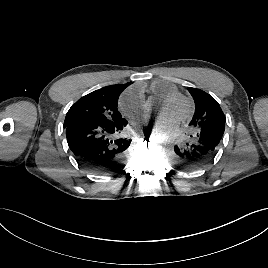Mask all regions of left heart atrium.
Returning a JSON list of instances; mask_svg holds the SVG:
<instances>
[{"label": "left heart atrium", "mask_w": 268, "mask_h": 268, "mask_svg": "<svg viewBox=\"0 0 268 268\" xmlns=\"http://www.w3.org/2000/svg\"><path fill=\"white\" fill-rule=\"evenodd\" d=\"M177 118L168 113L160 114L155 121V127L158 130H166L170 129L177 123ZM137 124V123H136Z\"/></svg>", "instance_id": "39dd6f15"}]
</instances>
